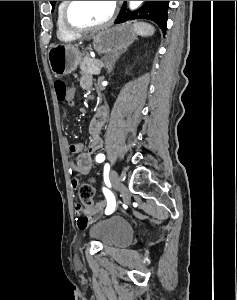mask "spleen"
<instances>
[{"label":"spleen","mask_w":237,"mask_h":300,"mask_svg":"<svg viewBox=\"0 0 237 300\" xmlns=\"http://www.w3.org/2000/svg\"><path fill=\"white\" fill-rule=\"evenodd\" d=\"M133 27L136 35H140V37H151L155 33L154 27L149 23H134Z\"/></svg>","instance_id":"spleen-1"}]
</instances>
